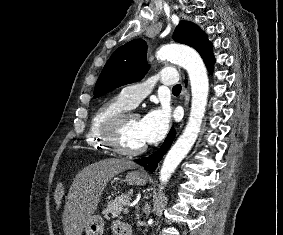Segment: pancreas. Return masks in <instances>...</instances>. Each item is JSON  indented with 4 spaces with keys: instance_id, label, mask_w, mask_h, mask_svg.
<instances>
[{
    "instance_id": "1",
    "label": "pancreas",
    "mask_w": 283,
    "mask_h": 235,
    "mask_svg": "<svg viewBox=\"0 0 283 235\" xmlns=\"http://www.w3.org/2000/svg\"><path fill=\"white\" fill-rule=\"evenodd\" d=\"M130 194H121L114 199H111L107 202L106 208L103 210L104 217L109 219V215H119L122 211L124 205L130 201Z\"/></svg>"
}]
</instances>
